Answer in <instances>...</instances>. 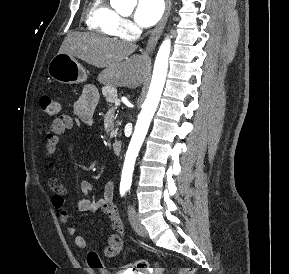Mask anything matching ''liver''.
Here are the masks:
<instances>
[{
  "mask_svg": "<svg viewBox=\"0 0 289 274\" xmlns=\"http://www.w3.org/2000/svg\"><path fill=\"white\" fill-rule=\"evenodd\" d=\"M137 46L94 33H69L59 53L77 57L97 68H104L98 80L106 85L136 88L142 83L144 57L132 55Z\"/></svg>",
  "mask_w": 289,
  "mask_h": 274,
  "instance_id": "obj_1",
  "label": "liver"
}]
</instances>
